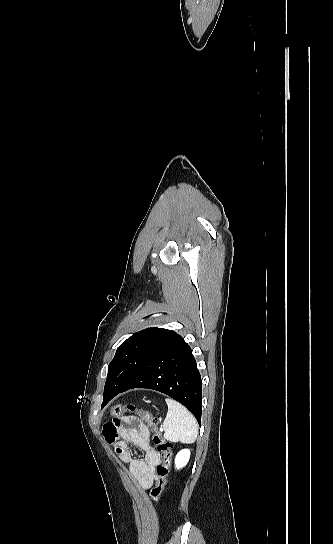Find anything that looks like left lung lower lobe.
<instances>
[{
	"instance_id": "left-lung-lower-lobe-1",
	"label": "left lung lower lobe",
	"mask_w": 333,
	"mask_h": 544,
	"mask_svg": "<svg viewBox=\"0 0 333 544\" xmlns=\"http://www.w3.org/2000/svg\"><path fill=\"white\" fill-rule=\"evenodd\" d=\"M133 388L162 392L183 404L201 425L202 381L192 350L180 335H175L120 390L104 392L103 408L119 393Z\"/></svg>"
}]
</instances>
